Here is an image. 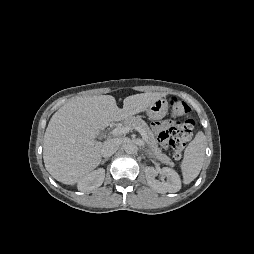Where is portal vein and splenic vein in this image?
<instances>
[{"label": "portal vein and splenic vein", "instance_id": "portal-vein-and-splenic-vein-1", "mask_svg": "<svg viewBox=\"0 0 254 254\" xmlns=\"http://www.w3.org/2000/svg\"><path fill=\"white\" fill-rule=\"evenodd\" d=\"M130 130H132V128L127 127V126L117 127L115 129H113L110 134L113 136H119V135L127 134ZM135 130L141 134L143 140L146 142L147 135H146L145 131L139 127H136Z\"/></svg>", "mask_w": 254, "mask_h": 254}]
</instances>
